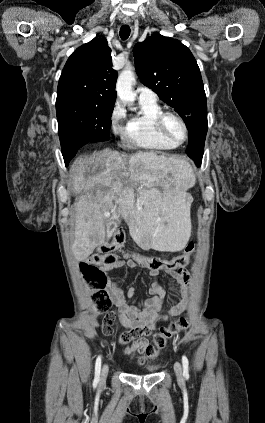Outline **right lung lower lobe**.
Returning a JSON list of instances; mask_svg holds the SVG:
<instances>
[{
	"label": "right lung lower lobe",
	"mask_w": 265,
	"mask_h": 423,
	"mask_svg": "<svg viewBox=\"0 0 265 423\" xmlns=\"http://www.w3.org/2000/svg\"><path fill=\"white\" fill-rule=\"evenodd\" d=\"M80 145H81L80 141H77V142L74 144V146H75V147H78V146H80Z\"/></svg>",
	"instance_id": "98d812e1"
}]
</instances>
